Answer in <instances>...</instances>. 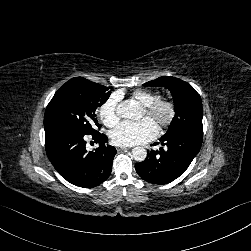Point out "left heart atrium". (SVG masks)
<instances>
[{
  "label": "left heart atrium",
  "instance_id": "1",
  "mask_svg": "<svg viewBox=\"0 0 251 251\" xmlns=\"http://www.w3.org/2000/svg\"><path fill=\"white\" fill-rule=\"evenodd\" d=\"M158 134V125L151 118L138 122L124 121L112 132V141L116 145L133 146L153 140Z\"/></svg>",
  "mask_w": 251,
  "mask_h": 251
}]
</instances>
